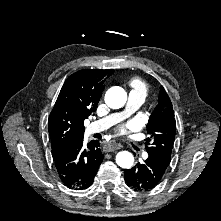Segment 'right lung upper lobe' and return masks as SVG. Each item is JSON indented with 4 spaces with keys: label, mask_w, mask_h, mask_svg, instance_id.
Returning <instances> with one entry per match:
<instances>
[{
    "label": "right lung upper lobe",
    "mask_w": 221,
    "mask_h": 221,
    "mask_svg": "<svg viewBox=\"0 0 221 221\" xmlns=\"http://www.w3.org/2000/svg\"><path fill=\"white\" fill-rule=\"evenodd\" d=\"M113 69H84L64 82L48 119L52 155L83 138L84 120L96 109Z\"/></svg>",
    "instance_id": "1"
}]
</instances>
